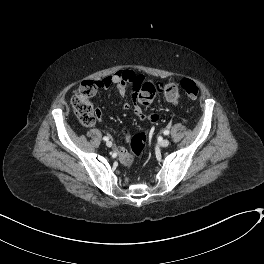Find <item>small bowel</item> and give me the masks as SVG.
<instances>
[{
  "instance_id": "c3829d8e",
  "label": "small bowel",
  "mask_w": 264,
  "mask_h": 264,
  "mask_svg": "<svg viewBox=\"0 0 264 264\" xmlns=\"http://www.w3.org/2000/svg\"><path fill=\"white\" fill-rule=\"evenodd\" d=\"M145 81H146V77L139 72L133 70H120L100 80L98 82V86L101 88H106L109 85L113 84L116 86L120 95H125L128 86H132L133 89L135 90L133 97L134 100L132 103L125 102L123 104V108L126 110L131 109L136 115V117L140 120H149L151 122H157L159 119L158 115L152 114L150 116H147L145 114L143 106H141L137 101V94L143 82ZM170 102L175 104L177 101H170ZM129 155H130L129 152L126 149L122 147L118 149V157L122 162L126 163L128 161Z\"/></svg>"
}]
</instances>
